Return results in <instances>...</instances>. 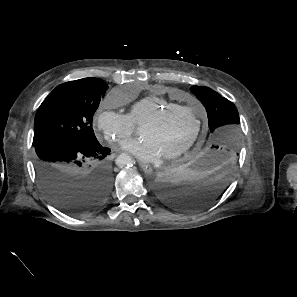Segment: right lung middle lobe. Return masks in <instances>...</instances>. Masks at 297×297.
<instances>
[{
	"mask_svg": "<svg viewBox=\"0 0 297 297\" xmlns=\"http://www.w3.org/2000/svg\"><path fill=\"white\" fill-rule=\"evenodd\" d=\"M108 85L99 78H84L57 86L35 116L33 144L51 137H66L84 145L98 141L92 118Z\"/></svg>",
	"mask_w": 297,
	"mask_h": 297,
	"instance_id": "right-lung-middle-lobe-1",
	"label": "right lung middle lobe"
}]
</instances>
